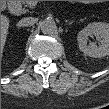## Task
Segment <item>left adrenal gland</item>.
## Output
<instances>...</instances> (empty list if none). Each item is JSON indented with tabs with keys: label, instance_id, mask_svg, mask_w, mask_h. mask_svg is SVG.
Returning a JSON list of instances; mask_svg holds the SVG:
<instances>
[{
	"label": "left adrenal gland",
	"instance_id": "obj_1",
	"mask_svg": "<svg viewBox=\"0 0 109 109\" xmlns=\"http://www.w3.org/2000/svg\"><path fill=\"white\" fill-rule=\"evenodd\" d=\"M73 22H74V21L69 22L68 25H71Z\"/></svg>",
	"mask_w": 109,
	"mask_h": 109
}]
</instances>
